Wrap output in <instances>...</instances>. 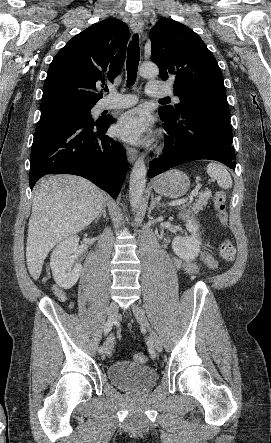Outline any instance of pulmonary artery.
Instances as JSON below:
<instances>
[{
    "label": "pulmonary artery",
    "mask_w": 271,
    "mask_h": 443,
    "mask_svg": "<svg viewBox=\"0 0 271 443\" xmlns=\"http://www.w3.org/2000/svg\"><path fill=\"white\" fill-rule=\"evenodd\" d=\"M146 92L152 96H164L170 94V91H153L150 84L146 86ZM173 98L175 102H179L178 97L174 96ZM137 102L138 99L133 94H123L117 92L116 90H110L108 95H106L96 103L94 110L96 112H100L103 110L128 108L134 106L135 104H137Z\"/></svg>",
    "instance_id": "1"
}]
</instances>
